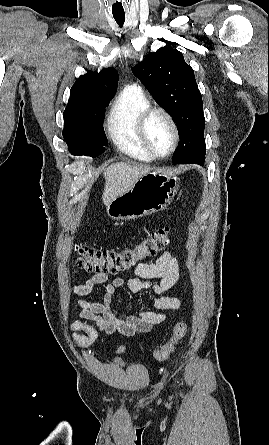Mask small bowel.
<instances>
[{
  "label": "small bowel",
  "mask_w": 269,
  "mask_h": 445,
  "mask_svg": "<svg viewBox=\"0 0 269 445\" xmlns=\"http://www.w3.org/2000/svg\"><path fill=\"white\" fill-rule=\"evenodd\" d=\"M179 276L177 256L166 250L154 262L138 263L130 277H117L107 283L108 274L97 272L85 283L73 286V293L83 297L92 293L97 286L107 283L98 301L76 300L78 315L93 322L94 326L80 320L72 322L70 330L74 342L80 348H87L96 341L98 331L123 336L150 331L153 326L166 320L167 312L181 307L179 298L165 295L177 283ZM124 287L131 293H153L152 305L159 311L140 310L133 314H117L112 308L113 295L117 289Z\"/></svg>",
  "instance_id": "obj_1"
}]
</instances>
